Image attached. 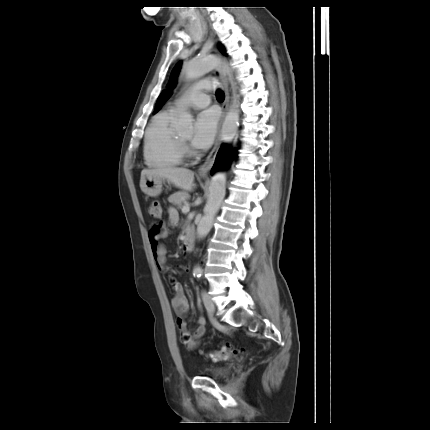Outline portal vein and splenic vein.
<instances>
[{
	"instance_id": "portal-vein-and-splenic-vein-1",
	"label": "portal vein and splenic vein",
	"mask_w": 430,
	"mask_h": 430,
	"mask_svg": "<svg viewBox=\"0 0 430 430\" xmlns=\"http://www.w3.org/2000/svg\"><path fill=\"white\" fill-rule=\"evenodd\" d=\"M189 211H190L189 205L188 204L184 205L183 208H182V212L183 213H188Z\"/></svg>"
}]
</instances>
